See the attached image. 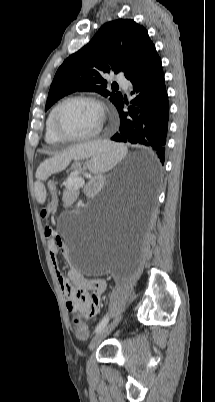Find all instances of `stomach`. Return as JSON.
Here are the masks:
<instances>
[{
    "label": "stomach",
    "mask_w": 215,
    "mask_h": 402,
    "mask_svg": "<svg viewBox=\"0 0 215 402\" xmlns=\"http://www.w3.org/2000/svg\"><path fill=\"white\" fill-rule=\"evenodd\" d=\"M73 168H74V169H78V170H85V168L82 169V168L80 167V165H78V164H75V165L73 166Z\"/></svg>",
    "instance_id": "1"
}]
</instances>
